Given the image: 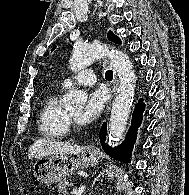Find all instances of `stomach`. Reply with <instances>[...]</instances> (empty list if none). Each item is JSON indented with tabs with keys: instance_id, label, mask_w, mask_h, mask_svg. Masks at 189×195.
<instances>
[{
	"instance_id": "1",
	"label": "stomach",
	"mask_w": 189,
	"mask_h": 195,
	"mask_svg": "<svg viewBox=\"0 0 189 195\" xmlns=\"http://www.w3.org/2000/svg\"><path fill=\"white\" fill-rule=\"evenodd\" d=\"M99 159V151L89 147L77 158L69 155L43 156L34 162L33 173L40 182L49 185L68 178L78 168L96 165Z\"/></svg>"
}]
</instances>
